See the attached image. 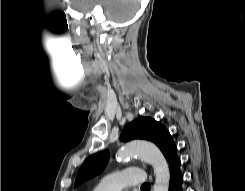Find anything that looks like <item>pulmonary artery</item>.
I'll return each instance as SVG.
<instances>
[{"mask_svg": "<svg viewBox=\"0 0 245 191\" xmlns=\"http://www.w3.org/2000/svg\"><path fill=\"white\" fill-rule=\"evenodd\" d=\"M146 174L139 168H125L105 177L93 191H121L144 182Z\"/></svg>", "mask_w": 245, "mask_h": 191, "instance_id": "1", "label": "pulmonary artery"}]
</instances>
